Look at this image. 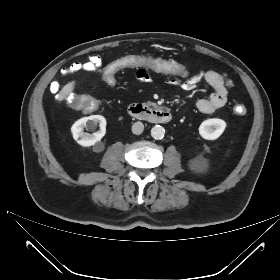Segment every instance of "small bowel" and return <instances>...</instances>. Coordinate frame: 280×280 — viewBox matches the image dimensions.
<instances>
[{
    "instance_id": "1",
    "label": "small bowel",
    "mask_w": 280,
    "mask_h": 280,
    "mask_svg": "<svg viewBox=\"0 0 280 280\" xmlns=\"http://www.w3.org/2000/svg\"><path fill=\"white\" fill-rule=\"evenodd\" d=\"M76 66L78 67V71L84 70L90 73L103 72L104 69L102 60L96 55H91L86 62L78 63ZM150 72L155 71L151 69L137 68L136 80L138 82L151 81ZM201 81H205L211 86L214 89V92L208 97L200 98L196 102V108L200 112L206 114L213 113L222 108L227 102L228 91L233 86L232 81L224 73H219L213 70L201 71L188 78L185 82L168 78V82L171 85L178 86L185 91L195 89Z\"/></svg>"
}]
</instances>
